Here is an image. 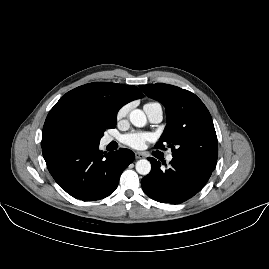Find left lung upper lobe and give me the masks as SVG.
I'll list each match as a JSON object with an SVG mask.
<instances>
[{
  "label": "left lung upper lobe",
  "mask_w": 269,
  "mask_h": 269,
  "mask_svg": "<svg viewBox=\"0 0 269 269\" xmlns=\"http://www.w3.org/2000/svg\"><path fill=\"white\" fill-rule=\"evenodd\" d=\"M166 109L167 125L156 148L167 144L172 156L214 169L218 143L209 111L192 92L164 83L140 85Z\"/></svg>",
  "instance_id": "left-lung-upper-lobe-1"
}]
</instances>
